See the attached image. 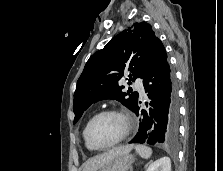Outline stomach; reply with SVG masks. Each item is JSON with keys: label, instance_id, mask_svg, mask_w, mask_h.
I'll return each instance as SVG.
<instances>
[{"label": "stomach", "instance_id": "1", "mask_svg": "<svg viewBox=\"0 0 223 171\" xmlns=\"http://www.w3.org/2000/svg\"><path fill=\"white\" fill-rule=\"evenodd\" d=\"M134 156L130 154L119 155L111 162L105 164L98 171H128L133 162Z\"/></svg>", "mask_w": 223, "mask_h": 171}]
</instances>
